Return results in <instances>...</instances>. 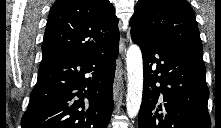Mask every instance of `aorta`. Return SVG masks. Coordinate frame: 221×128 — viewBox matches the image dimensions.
I'll return each instance as SVG.
<instances>
[{
    "label": "aorta",
    "mask_w": 221,
    "mask_h": 128,
    "mask_svg": "<svg viewBox=\"0 0 221 128\" xmlns=\"http://www.w3.org/2000/svg\"><path fill=\"white\" fill-rule=\"evenodd\" d=\"M127 96L126 108L130 118H134L140 109L143 92V59L140 48L132 44L126 54Z\"/></svg>",
    "instance_id": "aorta-1"
}]
</instances>
